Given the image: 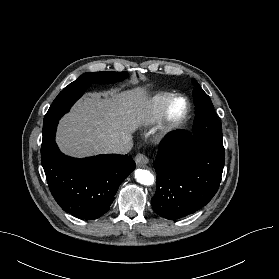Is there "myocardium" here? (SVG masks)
I'll use <instances>...</instances> for the list:
<instances>
[{"mask_svg": "<svg viewBox=\"0 0 279 279\" xmlns=\"http://www.w3.org/2000/svg\"><path fill=\"white\" fill-rule=\"evenodd\" d=\"M177 100H182L185 104V108L183 113L179 117L172 118L170 116V110L173 103ZM189 113H190V103L185 96L174 95L173 97H171L169 101L166 103L161 114V118H160L161 133L163 135H167L180 129L187 121Z\"/></svg>", "mask_w": 279, "mask_h": 279, "instance_id": "f54148a6", "label": "myocardium"}]
</instances>
